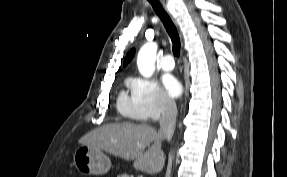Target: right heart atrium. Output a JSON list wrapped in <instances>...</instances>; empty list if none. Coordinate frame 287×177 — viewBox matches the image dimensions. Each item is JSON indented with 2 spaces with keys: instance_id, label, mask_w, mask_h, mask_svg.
Listing matches in <instances>:
<instances>
[{
  "instance_id": "obj_1",
  "label": "right heart atrium",
  "mask_w": 287,
  "mask_h": 177,
  "mask_svg": "<svg viewBox=\"0 0 287 177\" xmlns=\"http://www.w3.org/2000/svg\"><path fill=\"white\" fill-rule=\"evenodd\" d=\"M135 102L136 118L152 122L174 110V101L166 94L156 80L138 78L131 84Z\"/></svg>"
}]
</instances>
